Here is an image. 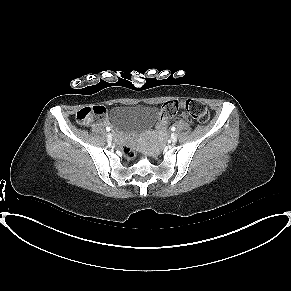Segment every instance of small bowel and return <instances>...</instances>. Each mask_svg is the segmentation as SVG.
<instances>
[{"instance_id":"small-bowel-1","label":"small bowel","mask_w":291,"mask_h":291,"mask_svg":"<svg viewBox=\"0 0 291 291\" xmlns=\"http://www.w3.org/2000/svg\"><path fill=\"white\" fill-rule=\"evenodd\" d=\"M185 118V116H182V119H184ZM106 123V122H105Z\"/></svg>"}]
</instances>
